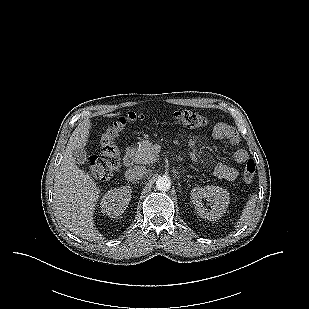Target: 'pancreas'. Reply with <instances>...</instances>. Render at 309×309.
Returning <instances> with one entry per match:
<instances>
[{
    "label": "pancreas",
    "instance_id": "cf45deb5",
    "mask_svg": "<svg viewBox=\"0 0 309 309\" xmlns=\"http://www.w3.org/2000/svg\"><path fill=\"white\" fill-rule=\"evenodd\" d=\"M135 162L139 164H150L155 162L159 155L155 151L153 144L150 141H143L139 147L134 149Z\"/></svg>",
    "mask_w": 309,
    "mask_h": 309
}]
</instances>
